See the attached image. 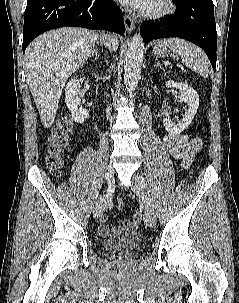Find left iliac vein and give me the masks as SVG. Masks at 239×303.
Masks as SVG:
<instances>
[{"label":"left iliac vein","instance_id":"left-iliac-vein-1","mask_svg":"<svg viewBox=\"0 0 239 303\" xmlns=\"http://www.w3.org/2000/svg\"><path fill=\"white\" fill-rule=\"evenodd\" d=\"M132 190L144 201V222L148 227H154L156 223V215L152 207L151 201L146 196L143 182L139 175L134 174L132 178Z\"/></svg>","mask_w":239,"mask_h":303}]
</instances>
